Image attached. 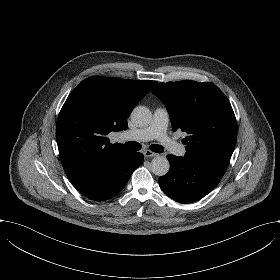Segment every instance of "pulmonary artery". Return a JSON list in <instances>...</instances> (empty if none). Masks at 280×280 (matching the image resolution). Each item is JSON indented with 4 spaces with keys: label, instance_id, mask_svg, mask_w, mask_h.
<instances>
[{
    "label": "pulmonary artery",
    "instance_id": "pulmonary-artery-1",
    "mask_svg": "<svg viewBox=\"0 0 280 280\" xmlns=\"http://www.w3.org/2000/svg\"><path fill=\"white\" fill-rule=\"evenodd\" d=\"M169 113L165 108H157L150 124L144 128L128 131L132 137L141 141L157 139L170 153L183 157L186 154L185 146L173 141L167 134Z\"/></svg>",
    "mask_w": 280,
    "mask_h": 280
}]
</instances>
